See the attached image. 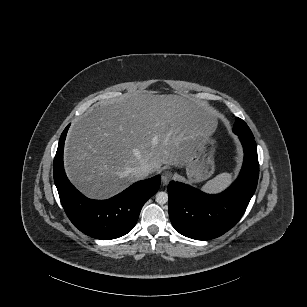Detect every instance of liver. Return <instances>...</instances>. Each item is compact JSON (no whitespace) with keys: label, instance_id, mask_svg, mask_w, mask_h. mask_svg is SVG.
<instances>
[{"label":"liver","instance_id":"liver-1","mask_svg":"<svg viewBox=\"0 0 307 307\" xmlns=\"http://www.w3.org/2000/svg\"><path fill=\"white\" fill-rule=\"evenodd\" d=\"M210 107L174 94H123L101 101L72 125L66 172L87 197L107 199L138 179L131 169L182 167L201 139Z\"/></svg>","mask_w":307,"mask_h":307}]
</instances>
